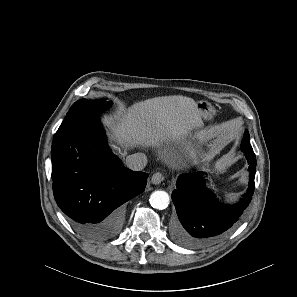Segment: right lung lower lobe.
I'll use <instances>...</instances> for the list:
<instances>
[{
	"instance_id": "1",
	"label": "right lung lower lobe",
	"mask_w": 297,
	"mask_h": 297,
	"mask_svg": "<svg viewBox=\"0 0 297 297\" xmlns=\"http://www.w3.org/2000/svg\"><path fill=\"white\" fill-rule=\"evenodd\" d=\"M51 159L54 197L74 228L91 239L115 236L123 204L145 190L148 174L125 168L112 154L99 118L57 131Z\"/></svg>"
}]
</instances>
